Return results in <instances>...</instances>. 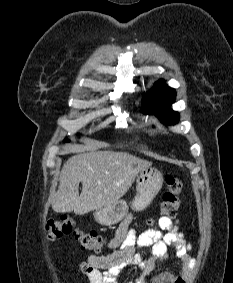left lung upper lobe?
<instances>
[{"label":"left lung upper lobe","instance_id":"obj_1","mask_svg":"<svg viewBox=\"0 0 233 283\" xmlns=\"http://www.w3.org/2000/svg\"><path fill=\"white\" fill-rule=\"evenodd\" d=\"M175 100V90L167 87L162 80H159L153 88L144 95L143 105L148 104L146 114H157L161 122L165 124H175L179 120L177 112L170 109V105Z\"/></svg>","mask_w":233,"mask_h":283}]
</instances>
